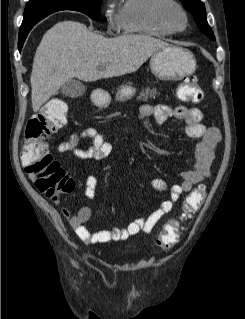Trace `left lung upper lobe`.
I'll use <instances>...</instances> for the list:
<instances>
[{"mask_svg":"<svg viewBox=\"0 0 245 319\" xmlns=\"http://www.w3.org/2000/svg\"><path fill=\"white\" fill-rule=\"evenodd\" d=\"M190 13L194 16V19L199 26L200 30L204 32L210 39L215 40V36L210 26L208 25L205 16V6L200 0H181Z\"/></svg>","mask_w":245,"mask_h":319,"instance_id":"left-lung-upper-lobe-1","label":"left lung upper lobe"}]
</instances>
